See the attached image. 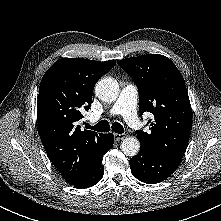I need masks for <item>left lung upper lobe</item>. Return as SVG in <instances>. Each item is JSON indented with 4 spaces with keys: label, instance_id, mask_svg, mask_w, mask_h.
Masks as SVG:
<instances>
[{
    "label": "left lung upper lobe",
    "instance_id": "left-lung-upper-lobe-1",
    "mask_svg": "<svg viewBox=\"0 0 221 221\" xmlns=\"http://www.w3.org/2000/svg\"><path fill=\"white\" fill-rule=\"evenodd\" d=\"M118 65L137 85L140 113L154 115L149 133L136 131L141 148L182 159L191 134L192 110L175 64L163 55L148 54L120 60Z\"/></svg>",
    "mask_w": 221,
    "mask_h": 221
}]
</instances>
